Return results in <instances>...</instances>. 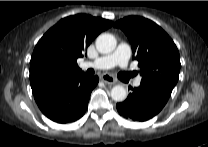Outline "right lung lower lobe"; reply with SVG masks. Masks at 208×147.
Returning a JSON list of instances; mask_svg holds the SVG:
<instances>
[{
	"label": "right lung lower lobe",
	"instance_id": "right-lung-lower-lobe-1",
	"mask_svg": "<svg viewBox=\"0 0 208 147\" xmlns=\"http://www.w3.org/2000/svg\"><path fill=\"white\" fill-rule=\"evenodd\" d=\"M99 78L84 73L73 79L33 92L35 101L45 116L57 123L73 122L86 112L90 94Z\"/></svg>",
	"mask_w": 208,
	"mask_h": 147
}]
</instances>
